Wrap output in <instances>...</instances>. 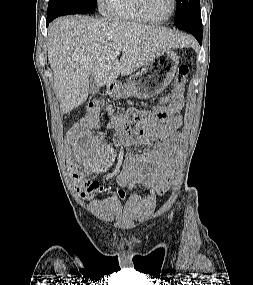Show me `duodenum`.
Listing matches in <instances>:
<instances>
[{
  "instance_id": "410a0bca",
  "label": "duodenum",
  "mask_w": 253,
  "mask_h": 285,
  "mask_svg": "<svg viewBox=\"0 0 253 285\" xmlns=\"http://www.w3.org/2000/svg\"><path fill=\"white\" fill-rule=\"evenodd\" d=\"M108 88H109L110 91H115L116 85H115L114 83H110V84L108 85Z\"/></svg>"
}]
</instances>
